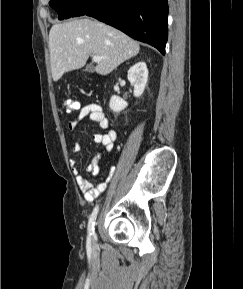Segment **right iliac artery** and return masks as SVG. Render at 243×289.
I'll use <instances>...</instances> for the list:
<instances>
[{"instance_id":"obj_1","label":"right iliac artery","mask_w":243,"mask_h":289,"mask_svg":"<svg viewBox=\"0 0 243 289\" xmlns=\"http://www.w3.org/2000/svg\"><path fill=\"white\" fill-rule=\"evenodd\" d=\"M99 207L96 206L90 216L89 222H88V236L91 238L94 235V225L95 220L98 214Z\"/></svg>"}]
</instances>
